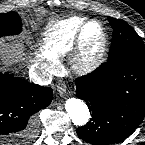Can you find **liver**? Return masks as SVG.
<instances>
[{
    "instance_id": "liver-1",
    "label": "liver",
    "mask_w": 145,
    "mask_h": 145,
    "mask_svg": "<svg viewBox=\"0 0 145 145\" xmlns=\"http://www.w3.org/2000/svg\"><path fill=\"white\" fill-rule=\"evenodd\" d=\"M21 45L19 44H5L0 42V58L5 60V63H18L23 60Z\"/></svg>"
}]
</instances>
